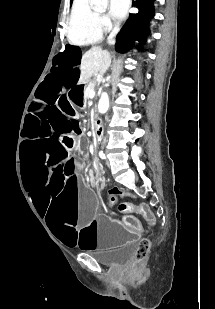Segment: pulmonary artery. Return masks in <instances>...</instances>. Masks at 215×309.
I'll use <instances>...</instances> for the list:
<instances>
[{
  "label": "pulmonary artery",
  "instance_id": "obj_1",
  "mask_svg": "<svg viewBox=\"0 0 215 309\" xmlns=\"http://www.w3.org/2000/svg\"><path fill=\"white\" fill-rule=\"evenodd\" d=\"M88 7H89L88 0H75L73 6L74 16H87Z\"/></svg>",
  "mask_w": 215,
  "mask_h": 309
}]
</instances>
